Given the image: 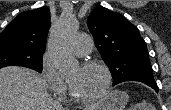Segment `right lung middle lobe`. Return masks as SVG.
Wrapping results in <instances>:
<instances>
[{"label": "right lung middle lobe", "instance_id": "1", "mask_svg": "<svg viewBox=\"0 0 171 110\" xmlns=\"http://www.w3.org/2000/svg\"><path fill=\"white\" fill-rule=\"evenodd\" d=\"M44 51H35L14 43H0V69L6 66H25L42 71Z\"/></svg>", "mask_w": 171, "mask_h": 110}]
</instances>
